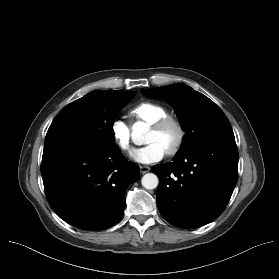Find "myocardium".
Segmentation results:
<instances>
[{
	"label": "myocardium",
	"mask_w": 279,
	"mask_h": 279,
	"mask_svg": "<svg viewBox=\"0 0 279 279\" xmlns=\"http://www.w3.org/2000/svg\"><path fill=\"white\" fill-rule=\"evenodd\" d=\"M169 126L175 128L177 132L176 140L172 146L166 150V154L172 156L180 151L185 141L186 131L182 122L172 116H165L153 122L151 124V129L154 131H161Z\"/></svg>",
	"instance_id": "1"
}]
</instances>
